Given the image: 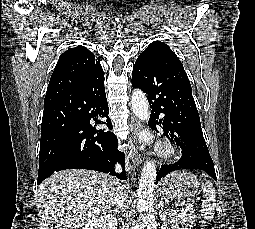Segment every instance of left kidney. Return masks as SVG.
Listing matches in <instances>:
<instances>
[{
  "instance_id": "left-kidney-1",
  "label": "left kidney",
  "mask_w": 255,
  "mask_h": 229,
  "mask_svg": "<svg viewBox=\"0 0 255 229\" xmlns=\"http://www.w3.org/2000/svg\"><path fill=\"white\" fill-rule=\"evenodd\" d=\"M179 229H187V228H184V227H183V228H179Z\"/></svg>"
}]
</instances>
